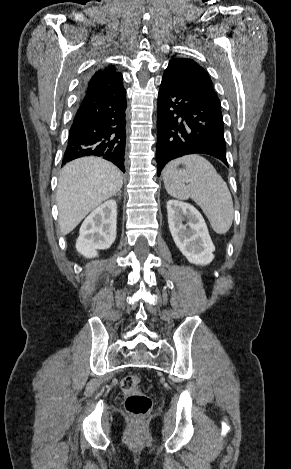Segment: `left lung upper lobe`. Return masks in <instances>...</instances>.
Listing matches in <instances>:
<instances>
[{
    "label": "left lung upper lobe",
    "mask_w": 291,
    "mask_h": 469,
    "mask_svg": "<svg viewBox=\"0 0 291 469\" xmlns=\"http://www.w3.org/2000/svg\"><path fill=\"white\" fill-rule=\"evenodd\" d=\"M166 75L175 77L181 83L188 85L204 95L218 101L209 74L194 60L188 58H173L170 60Z\"/></svg>",
    "instance_id": "obj_1"
}]
</instances>
